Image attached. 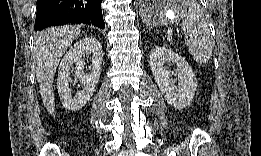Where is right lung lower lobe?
Returning <instances> with one entry per match:
<instances>
[{
  "instance_id": "1",
  "label": "right lung lower lobe",
  "mask_w": 261,
  "mask_h": 156,
  "mask_svg": "<svg viewBox=\"0 0 261 156\" xmlns=\"http://www.w3.org/2000/svg\"><path fill=\"white\" fill-rule=\"evenodd\" d=\"M102 0H37L34 29L64 24H87L104 28Z\"/></svg>"
}]
</instances>
